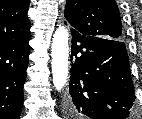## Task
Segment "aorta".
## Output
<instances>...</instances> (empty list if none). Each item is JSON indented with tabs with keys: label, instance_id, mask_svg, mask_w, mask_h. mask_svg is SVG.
<instances>
[{
	"label": "aorta",
	"instance_id": "aorta-1",
	"mask_svg": "<svg viewBox=\"0 0 142 119\" xmlns=\"http://www.w3.org/2000/svg\"><path fill=\"white\" fill-rule=\"evenodd\" d=\"M68 30L64 26H59L52 38L51 56H52V75L53 84L57 91H61L68 77Z\"/></svg>",
	"mask_w": 142,
	"mask_h": 119
}]
</instances>
